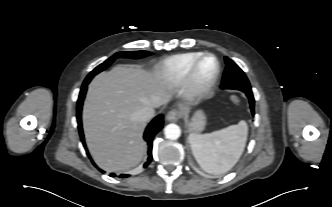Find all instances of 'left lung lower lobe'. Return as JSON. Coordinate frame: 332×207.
<instances>
[{"instance_id":"obj_1","label":"left lung lower lobe","mask_w":332,"mask_h":207,"mask_svg":"<svg viewBox=\"0 0 332 207\" xmlns=\"http://www.w3.org/2000/svg\"><path fill=\"white\" fill-rule=\"evenodd\" d=\"M244 93L246 94V96L249 99L251 112L254 115V103H255V100H254V97H253V94H252V90H247Z\"/></svg>"}]
</instances>
